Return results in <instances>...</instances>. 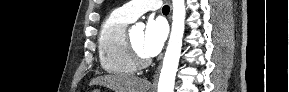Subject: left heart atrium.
Returning <instances> with one entry per match:
<instances>
[{
  "label": "left heart atrium",
  "instance_id": "39dd6f15",
  "mask_svg": "<svg viewBox=\"0 0 289 92\" xmlns=\"http://www.w3.org/2000/svg\"><path fill=\"white\" fill-rule=\"evenodd\" d=\"M167 26L161 18H150L146 24L143 50L147 57L160 53L167 37Z\"/></svg>",
  "mask_w": 289,
  "mask_h": 92
}]
</instances>
